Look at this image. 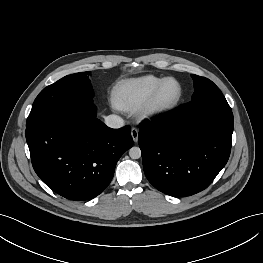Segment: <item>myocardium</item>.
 Instances as JSON below:
<instances>
[{
    "instance_id": "obj_1",
    "label": "myocardium",
    "mask_w": 263,
    "mask_h": 263,
    "mask_svg": "<svg viewBox=\"0 0 263 263\" xmlns=\"http://www.w3.org/2000/svg\"><path fill=\"white\" fill-rule=\"evenodd\" d=\"M169 82H175L178 86V93L176 96L170 100H164L162 98V93L164 88ZM183 97V86L175 78L168 77L165 78L155 89L153 94L147 103L140 108L139 114L142 118H153L156 116L163 115L171 110H173L181 101Z\"/></svg>"
}]
</instances>
